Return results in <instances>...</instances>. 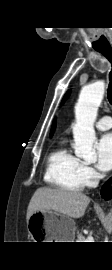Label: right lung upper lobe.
I'll list each match as a JSON object with an SVG mask.
<instances>
[{
    "instance_id": "1",
    "label": "right lung upper lobe",
    "mask_w": 112,
    "mask_h": 270,
    "mask_svg": "<svg viewBox=\"0 0 112 270\" xmlns=\"http://www.w3.org/2000/svg\"><path fill=\"white\" fill-rule=\"evenodd\" d=\"M55 125H56V123H55V121L53 122V125H52V130H51V136L53 135V132H54V130H55Z\"/></svg>"
}]
</instances>
